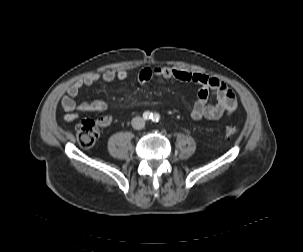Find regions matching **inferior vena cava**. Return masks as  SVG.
<instances>
[{
  "label": "inferior vena cava",
  "instance_id": "1",
  "mask_svg": "<svg viewBox=\"0 0 303 252\" xmlns=\"http://www.w3.org/2000/svg\"><path fill=\"white\" fill-rule=\"evenodd\" d=\"M131 125L134 129L140 130L143 129L145 126V121L143 118L136 116L131 120Z\"/></svg>",
  "mask_w": 303,
  "mask_h": 252
}]
</instances>
